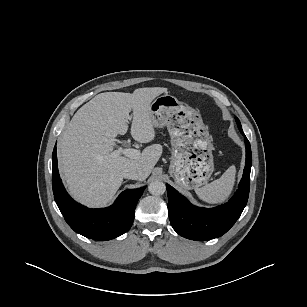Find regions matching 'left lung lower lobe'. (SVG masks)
I'll use <instances>...</instances> for the list:
<instances>
[{"label": "left lung lower lobe", "mask_w": 307, "mask_h": 307, "mask_svg": "<svg viewBox=\"0 0 307 307\" xmlns=\"http://www.w3.org/2000/svg\"><path fill=\"white\" fill-rule=\"evenodd\" d=\"M245 136V134L241 131ZM246 145V163L238 190L229 202L207 209L192 205L184 196L166 184L168 193V212L173 229L181 236L191 240H210L225 234L240 217L245 208L250 189V170L252 165L251 146Z\"/></svg>", "instance_id": "obj_1"}]
</instances>
